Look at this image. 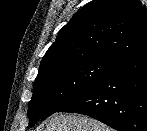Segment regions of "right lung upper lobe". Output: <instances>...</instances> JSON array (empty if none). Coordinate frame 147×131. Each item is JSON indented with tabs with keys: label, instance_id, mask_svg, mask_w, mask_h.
Segmentation results:
<instances>
[{
	"label": "right lung upper lobe",
	"instance_id": "obj_1",
	"mask_svg": "<svg viewBox=\"0 0 147 131\" xmlns=\"http://www.w3.org/2000/svg\"><path fill=\"white\" fill-rule=\"evenodd\" d=\"M146 44L147 9L141 1L93 0L59 31L39 73L95 56L118 62Z\"/></svg>",
	"mask_w": 147,
	"mask_h": 131
}]
</instances>
